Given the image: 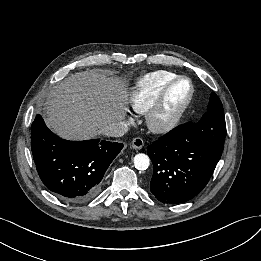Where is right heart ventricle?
Masks as SVG:
<instances>
[{
    "label": "right heart ventricle",
    "mask_w": 261,
    "mask_h": 261,
    "mask_svg": "<svg viewBox=\"0 0 261 261\" xmlns=\"http://www.w3.org/2000/svg\"><path fill=\"white\" fill-rule=\"evenodd\" d=\"M178 75L170 71H155L139 77L129 98L131 107L137 113H147L164 87Z\"/></svg>",
    "instance_id": "right-heart-ventricle-1"
}]
</instances>
